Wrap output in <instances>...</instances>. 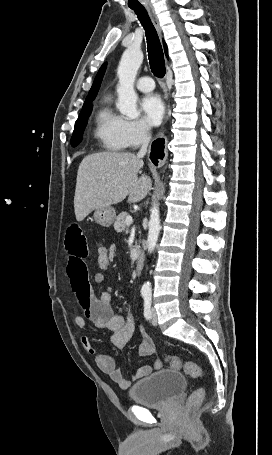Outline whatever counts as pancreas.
Returning a JSON list of instances; mask_svg holds the SVG:
<instances>
[{"instance_id": "cf45deb5", "label": "pancreas", "mask_w": 272, "mask_h": 455, "mask_svg": "<svg viewBox=\"0 0 272 455\" xmlns=\"http://www.w3.org/2000/svg\"><path fill=\"white\" fill-rule=\"evenodd\" d=\"M128 216L129 215L126 212H122L116 217V221L114 223V229L116 232H122L126 229L125 220Z\"/></svg>"}]
</instances>
